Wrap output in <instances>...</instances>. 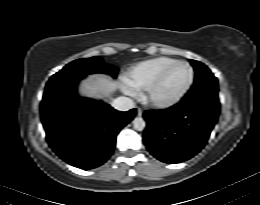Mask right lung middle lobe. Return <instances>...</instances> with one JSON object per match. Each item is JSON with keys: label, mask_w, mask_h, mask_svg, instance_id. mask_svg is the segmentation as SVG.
Wrapping results in <instances>:
<instances>
[{"label": "right lung middle lobe", "mask_w": 260, "mask_h": 205, "mask_svg": "<svg viewBox=\"0 0 260 205\" xmlns=\"http://www.w3.org/2000/svg\"><path fill=\"white\" fill-rule=\"evenodd\" d=\"M117 71V67H114L112 65H105L99 56H95L92 58H82L75 60L67 64L62 70H60L53 76L59 77L64 74L87 75L96 72H101L116 77Z\"/></svg>", "instance_id": "obj_1"}]
</instances>
